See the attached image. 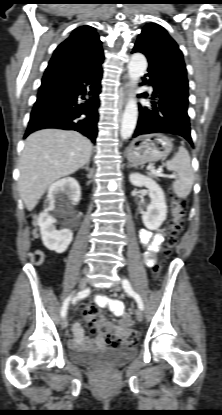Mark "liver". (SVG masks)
Returning a JSON list of instances; mask_svg holds the SVG:
<instances>
[{
  "label": "liver",
  "mask_w": 222,
  "mask_h": 415,
  "mask_svg": "<svg viewBox=\"0 0 222 415\" xmlns=\"http://www.w3.org/2000/svg\"><path fill=\"white\" fill-rule=\"evenodd\" d=\"M92 143L76 131L44 129L25 141L19 161L18 190L28 211L56 180L89 162Z\"/></svg>",
  "instance_id": "liver-1"
}]
</instances>
